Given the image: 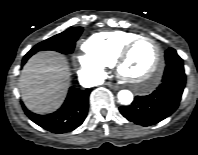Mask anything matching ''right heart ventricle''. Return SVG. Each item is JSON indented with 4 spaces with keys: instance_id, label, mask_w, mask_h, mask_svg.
<instances>
[{
    "instance_id": "e07e8e85",
    "label": "right heart ventricle",
    "mask_w": 198,
    "mask_h": 155,
    "mask_svg": "<svg viewBox=\"0 0 198 155\" xmlns=\"http://www.w3.org/2000/svg\"><path fill=\"white\" fill-rule=\"evenodd\" d=\"M139 34L130 31H105L91 35L83 43L86 54L97 59L106 67L114 64L121 48Z\"/></svg>"
}]
</instances>
